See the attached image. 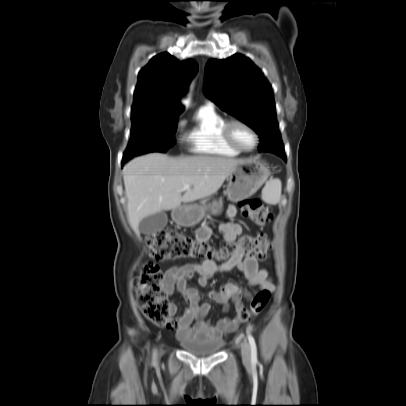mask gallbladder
Segmentation results:
<instances>
[{
    "mask_svg": "<svg viewBox=\"0 0 406 406\" xmlns=\"http://www.w3.org/2000/svg\"><path fill=\"white\" fill-rule=\"evenodd\" d=\"M168 217L164 211L149 215L139 223V231L143 234H154L162 231L167 225Z\"/></svg>",
    "mask_w": 406,
    "mask_h": 406,
    "instance_id": "obj_1",
    "label": "gallbladder"
}]
</instances>
